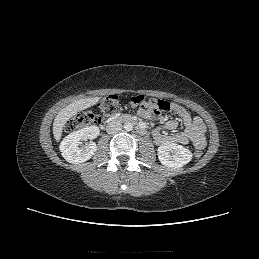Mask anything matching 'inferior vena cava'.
I'll return each instance as SVG.
<instances>
[{"label": "inferior vena cava", "instance_id": "obj_1", "mask_svg": "<svg viewBox=\"0 0 259 259\" xmlns=\"http://www.w3.org/2000/svg\"><path fill=\"white\" fill-rule=\"evenodd\" d=\"M122 130V124L118 120L109 122L106 126V132L108 134H116Z\"/></svg>", "mask_w": 259, "mask_h": 259}]
</instances>
